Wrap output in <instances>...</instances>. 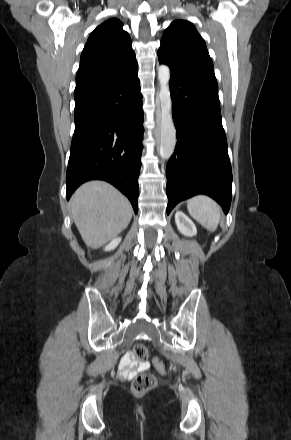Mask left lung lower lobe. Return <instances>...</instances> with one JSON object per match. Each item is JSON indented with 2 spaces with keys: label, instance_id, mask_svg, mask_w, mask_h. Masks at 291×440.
<instances>
[{
  "label": "left lung lower lobe",
  "instance_id": "obj_1",
  "mask_svg": "<svg viewBox=\"0 0 291 440\" xmlns=\"http://www.w3.org/2000/svg\"><path fill=\"white\" fill-rule=\"evenodd\" d=\"M168 66L177 144L166 167L167 214L178 202L201 193L215 199L227 213L231 203L232 171L217 81L210 76Z\"/></svg>",
  "mask_w": 291,
  "mask_h": 440
}]
</instances>
